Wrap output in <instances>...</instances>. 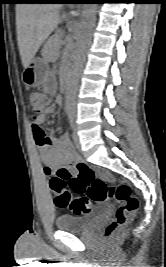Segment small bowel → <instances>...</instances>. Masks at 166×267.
Wrapping results in <instances>:
<instances>
[{"label":"small bowel","mask_w":166,"mask_h":267,"mask_svg":"<svg viewBox=\"0 0 166 267\" xmlns=\"http://www.w3.org/2000/svg\"><path fill=\"white\" fill-rule=\"evenodd\" d=\"M46 88L48 91H54L52 85H48ZM52 112L53 108L50 107L39 114L33 115L31 125L33 138L38 146L39 158L45 165L43 171L46 176L51 175L53 168L58 165H73L79 161V157L68 142L64 132L53 131L51 137L45 136L42 124L45 116ZM38 133H42L43 136L41 138L38 137Z\"/></svg>","instance_id":"small-bowel-1"}]
</instances>
